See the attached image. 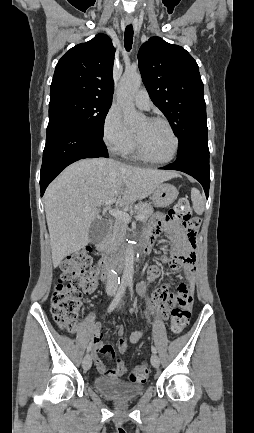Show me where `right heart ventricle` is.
<instances>
[{"mask_svg":"<svg viewBox=\"0 0 254 433\" xmlns=\"http://www.w3.org/2000/svg\"><path fill=\"white\" fill-rule=\"evenodd\" d=\"M125 155H128L132 158H138V155L134 149V146Z\"/></svg>","mask_w":254,"mask_h":433,"instance_id":"1","label":"right heart ventricle"}]
</instances>
